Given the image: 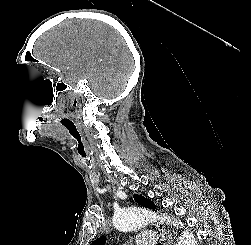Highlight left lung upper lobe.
<instances>
[{"mask_svg": "<svg viewBox=\"0 0 251 245\" xmlns=\"http://www.w3.org/2000/svg\"><path fill=\"white\" fill-rule=\"evenodd\" d=\"M134 200L139 205H141L143 207H147V208H151V209H155L156 208L155 204L151 200L146 199L143 196H140V195L136 194L134 196ZM105 242H106V237L105 236H101V237L97 238L95 241H93L91 245H105Z\"/></svg>", "mask_w": 251, "mask_h": 245, "instance_id": "5c2ea615", "label": "left lung upper lobe"}]
</instances>
